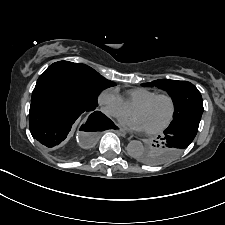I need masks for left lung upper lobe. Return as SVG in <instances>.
Returning <instances> with one entry per match:
<instances>
[{
    "mask_svg": "<svg viewBox=\"0 0 225 225\" xmlns=\"http://www.w3.org/2000/svg\"><path fill=\"white\" fill-rule=\"evenodd\" d=\"M143 85L157 86L167 91L171 96L175 107L173 121L171 123L190 115H202L203 113L201 93L190 82L159 79ZM161 140L160 138L158 141H154L155 143L140 153L136 159L142 163L153 165V156L155 154L169 150Z\"/></svg>",
    "mask_w": 225,
    "mask_h": 225,
    "instance_id": "5c2ea615",
    "label": "left lung upper lobe"
}]
</instances>
